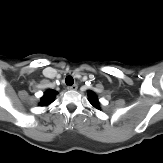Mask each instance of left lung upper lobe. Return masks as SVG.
<instances>
[{"label": "left lung upper lobe", "instance_id": "left-lung-upper-lobe-1", "mask_svg": "<svg viewBox=\"0 0 163 163\" xmlns=\"http://www.w3.org/2000/svg\"><path fill=\"white\" fill-rule=\"evenodd\" d=\"M88 97L90 99L91 104L96 108V109H100L99 107V101L97 99V97L95 96V94L92 91L88 92Z\"/></svg>", "mask_w": 163, "mask_h": 163}]
</instances>
